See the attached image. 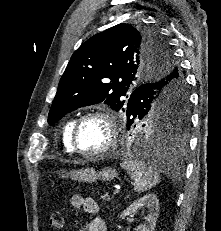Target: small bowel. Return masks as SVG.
<instances>
[{
	"label": "small bowel",
	"mask_w": 221,
	"mask_h": 231,
	"mask_svg": "<svg viewBox=\"0 0 221 231\" xmlns=\"http://www.w3.org/2000/svg\"><path fill=\"white\" fill-rule=\"evenodd\" d=\"M70 205L74 209H84L88 214L96 215L99 212L98 203L90 197H82L80 195H73L70 198ZM87 231H107L104 220L100 217H94L87 224Z\"/></svg>",
	"instance_id": "c3829d8e"
}]
</instances>
